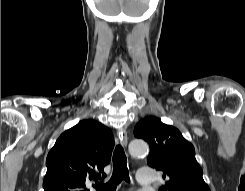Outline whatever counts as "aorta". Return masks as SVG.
I'll use <instances>...</instances> for the list:
<instances>
[{"instance_id": "762f6f07", "label": "aorta", "mask_w": 245, "mask_h": 191, "mask_svg": "<svg viewBox=\"0 0 245 191\" xmlns=\"http://www.w3.org/2000/svg\"><path fill=\"white\" fill-rule=\"evenodd\" d=\"M129 152L133 157H143L148 154L149 147L146 142L142 140H133L128 146Z\"/></svg>"}]
</instances>
